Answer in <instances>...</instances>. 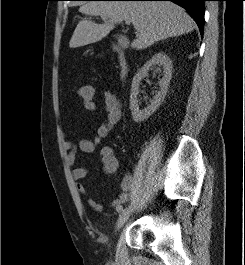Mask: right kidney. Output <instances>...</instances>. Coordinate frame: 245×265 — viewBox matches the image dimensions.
<instances>
[{
  "mask_svg": "<svg viewBox=\"0 0 245 265\" xmlns=\"http://www.w3.org/2000/svg\"><path fill=\"white\" fill-rule=\"evenodd\" d=\"M163 67V77L159 81L160 90L150 101V104L144 108L139 109L140 100L138 98L139 86L141 80L148 76V71L155 66ZM172 77V63L170 58L162 53H156L152 58L147 61L143 67L137 72L133 77L130 93V110L132 113V118L135 122H142L149 118L157 108L161 105L164 100L166 93L168 91V86Z\"/></svg>",
  "mask_w": 245,
  "mask_h": 265,
  "instance_id": "right-kidney-1",
  "label": "right kidney"
}]
</instances>
